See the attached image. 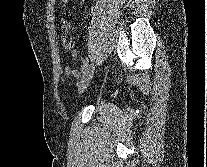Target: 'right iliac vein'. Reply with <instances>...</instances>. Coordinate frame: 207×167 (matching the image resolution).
Returning a JSON list of instances; mask_svg holds the SVG:
<instances>
[{
  "mask_svg": "<svg viewBox=\"0 0 207 167\" xmlns=\"http://www.w3.org/2000/svg\"><path fill=\"white\" fill-rule=\"evenodd\" d=\"M94 70H95V67L93 64L89 65L86 68L84 75L81 78L79 85H78L79 93H83L86 90V88L89 86V83H90V81L93 77V74H94Z\"/></svg>",
  "mask_w": 207,
  "mask_h": 167,
  "instance_id": "obj_1",
  "label": "right iliac vein"
}]
</instances>
